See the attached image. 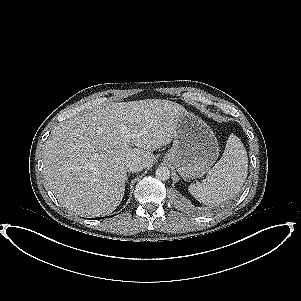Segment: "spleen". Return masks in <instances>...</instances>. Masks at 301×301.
Returning a JSON list of instances; mask_svg holds the SVG:
<instances>
[{
	"mask_svg": "<svg viewBox=\"0 0 301 301\" xmlns=\"http://www.w3.org/2000/svg\"><path fill=\"white\" fill-rule=\"evenodd\" d=\"M248 173V157L242 143L231 137L221 159L208 172L205 179L190 184V194L203 204L225 201L235 195L244 184Z\"/></svg>",
	"mask_w": 301,
	"mask_h": 301,
	"instance_id": "obj_1",
	"label": "spleen"
}]
</instances>
